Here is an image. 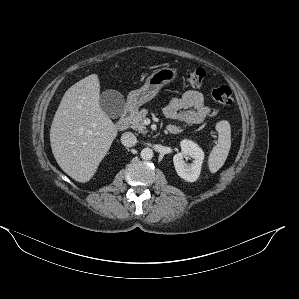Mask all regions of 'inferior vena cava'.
Wrapping results in <instances>:
<instances>
[{"label": "inferior vena cava", "instance_id": "602c4592", "mask_svg": "<svg viewBox=\"0 0 299 299\" xmlns=\"http://www.w3.org/2000/svg\"><path fill=\"white\" fill-rule=\"evenodd\" d=\"M121 143L126 147H132L136 145L137 138L133 133L125 132L121 136Z\"/></svg>", "mask_w": 299, "mask_h": 299}]
</instances>
